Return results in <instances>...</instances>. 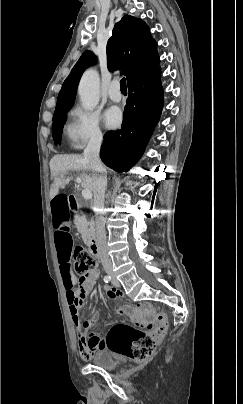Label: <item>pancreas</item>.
Segmentation results:
<instances>
[{
  "mask_svg": "<svg viewBox=\"0 0 243 404\" xmlns=\"http://www.w3.org/2000/svg\"><path fill=\"white\" fill-rule=\"evenodd\" d=\"M74 224L78 232H80L84 244H89L94 234L93 224H87V222H85V219L82 218V215L80 213H77L75 215Z\"/></svg>",
  "mask_w": 243,
  "mask_h": 404,
  "instance_id": "obj_1",
  "label": "pancreas"
}]
</instances>
